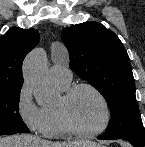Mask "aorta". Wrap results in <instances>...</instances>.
<instances>
[{
    "instance_id": "aorta-1",
    "label": "aorta",
    "mask_w": 145,
    "mask_h": 147,
    "mask_svg": "<svg viewBox=\"0 0 145 147\" xmlns=\"http://www.w3.org/2000/svg\"><path fill=\"white\" fill-rule=\"evenodd\" d=\"M23 76L25 84L34 92L36 101L41 104L54 94L48 75L46 53L41 48L32 50L24 60Z\"/></svg>"
}]
</instances>
